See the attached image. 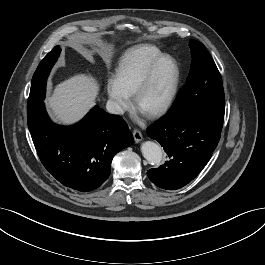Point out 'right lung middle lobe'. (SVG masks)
I'll use <instances>...</instances> for the list:
<instances>
[{
    "label": "right lung middle lobe",
    "mask_w": 265,
    "mask_h": 265,
    "mask_svg": "<svg viewBox=\"0 0 265 265\" xmlns=\"http://www.w3.org/2000/svg\"><path fill=\"white\" fill-rule=\"evenodd\" d=\"M60 52V47L55 46L53 50L45 56L36 69L32 78L31 90L27 104V113L33 111L43 103L45 98L46 80L52 66L59 57Z\"/></svg>",
    "instance_id": "obj_1"
}]
</instances>
